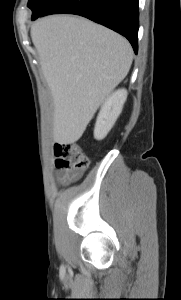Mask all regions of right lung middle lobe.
I'll use <instances>...</instances> for the list:
<instances>
[{"label":"right lung middle lobe","mask_w":181,"mask_h":300,"mask_svg":"<svg viewBox=\"0 0 181 300\" xmlns=\"http://www.w3.org/2000/svg\"><path fill=\"white\" fill-rule=\"evenodd\" d=\"M55 1L56 0H29L27 6L32 10V16H37Z\"/></svg>","instance_id":"right-lung-middle-lobe-1"}]
</instances>
